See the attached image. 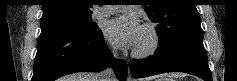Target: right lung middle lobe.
<instances>
[{"instance_id": "right-lung-middle-lobe-1", "label": "right lung middle lobe", "mask_w": 237, "mask_h": 81, "mask_svg": "<svg viewBox=\"0 0 237 81\" xmlns=\"http://www.w3.org/2000/svg\"><path fill=\"white\" fill-rule=\"evenodd\" d=\"M41 29H60L72 31L83 35H97L101 30L92 23L91 15L62 16L40 20Z\"/></svg>"}]
</instances>
